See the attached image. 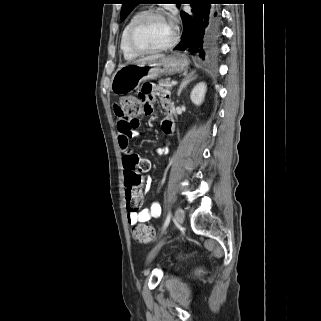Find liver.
Wrapping results in <instances>:
<instances>
[{"mask_svg":"<svg viewBox=\"0 0 321 321\" xmlns=\"http://www.w3.org/2000/svg\"><path fill=\"white\" fill-rule=\"evenodd\" d=\"M162 57H164V55H151V56L144 57V58L136 61L135 63H143V62H146V61L156 60V59H159V58H162Z\"/></svg>","mask_w":321,"mask_h":321,"instance_id":"1","label":"liver"}]
</instances>
